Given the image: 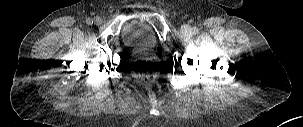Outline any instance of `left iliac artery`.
I'll list each match as a JSON object with an SVG mask.
<instances>
[{
	"instance_id": "left-iliac-artery-1",
	"label": "left iliac artery",
	"mask_w": 303,
	"mask_h": 127,
	"mask_svg": "<svg viewBox=\"0 0 303 127\" xmlns=\"http://www.w3.org/2000/svg\"><path fill=\"white\" fill-rule=\"evenodd\" d=\"M198 32H199L198 28H196V27L192 28V33L193 34H197Z\"/></svg>"
}]
</instances>
